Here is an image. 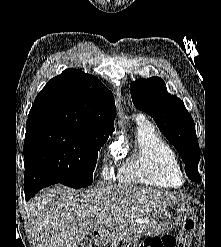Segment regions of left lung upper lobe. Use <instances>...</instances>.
<instances>
[{"mask_svg":"<svg viewBox=\"0 0 221 247\" xmlns=\"http://www.w3.org/2000/svg\"><path fill=\"white\" fill-rule=\"evenodd\" d=\"M130 93L135 107L153 117L160 131L177 149L189 179L201 182L198 173L200 149L195 124L183 101L168 93L160 77L133 81Z\"/></svg>","mask_w":221,"mask_h":247,"instance_id":"1","label":"left lung upper lobe"}]
</instances>
